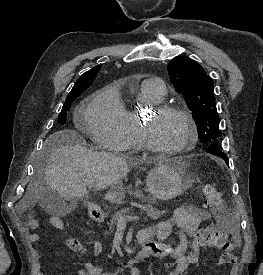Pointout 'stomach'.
<instances>
[{"instance_id":"1","label":"stomach","mask_w":263,"mask_h":275,"mask_svg":"<svg viewBox=\"0 0 263 275\" xmlns=\"http://www.w3.org/2000/svg\"><path fill=\"white\" fill-rule=\"evenodd\" d=\"M184 173L171 164H157L146 179L147 187L153 198L169 200L181 194L185 188Z\"/></svg>"}]
</instances>
